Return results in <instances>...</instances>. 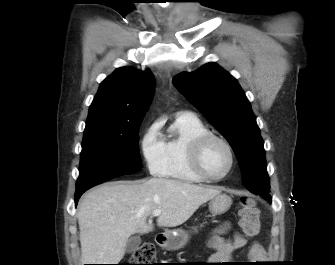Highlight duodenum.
Here are the masks:
<instances>
[{
  "mask_svg": "<svg viewBox=\"0 0 335 265\" xmlns=\"http://www.w3.org/2000/svg\"><path fill=\"white\" fill-rule=\"evenodd\" d=\"M166 240H167V237L165 234L160 233L156 236V242L160 246H163L166 243Z\"/></svg>",
  "mask_w": 335,
  "mask_h": 265,
  "instance_id": "obj_1",
  "label": "duodenum"
}]
</instances>
